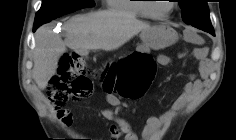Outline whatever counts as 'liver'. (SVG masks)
<instances>
[{"instance_id": "6515ba94", "label": "liver", "mask_w": 236, "mask_h": 140, "mask_svg": "<svg viewBox=\"0 0 236 140\" xmlns=\"http://www.w3.org/2000/svg\"><path fill=\"white\" fill-rule=\"evenodd\" d=\"M151 27L133 14L98 11L72 17L62 30L65 40L53 33L50 26H41L35 33L33 78L40 89H45L55 75L60 57L67 47L86 55L89 50L112 51Z\"/></svg>"}]
</instances>
